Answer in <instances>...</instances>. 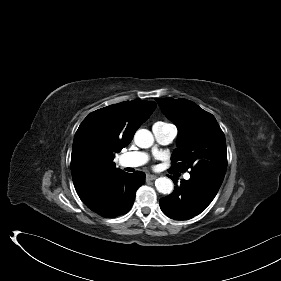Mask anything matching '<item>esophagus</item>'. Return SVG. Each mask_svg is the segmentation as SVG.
Returning <instances> with one entry per match:
<instances>
[{
  "instance_id": "1",
  "label": "esophagus",
  "mask_w": 281,
  "mask_h": 281,
  "mask_svg": "<svg viewBox=\"0 0 281 281\" xmlns=\"http://www.w3.org/2000/svg\"><path fill=\"white\" fill-rule=\"evenodd\" d=\"M156 178H157V176H155V175H151V174L146 175V180H148V181L155 180Z\"/></svg>"
}]
</instances>
